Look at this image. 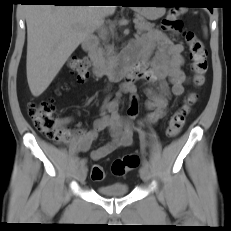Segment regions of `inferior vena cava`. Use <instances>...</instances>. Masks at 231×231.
I'll return each mask as SVG.
<instances>
[{"label":"inferior vena cava","instance_id":"602c4592","mask_svg":"<svg viewBox=\"0 0 231 231\" xmlns=\"http://www.w3.org/2000/svg\"><path fill=\"white\" fill-rule=\"evenodd\" d=\"M103 19H104V16H101V20H102V22H103Z\"/></svg>","mask_w":231,"mask_h":231}]
</instances>
